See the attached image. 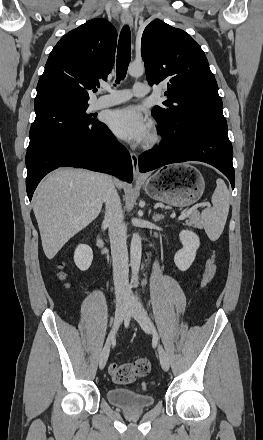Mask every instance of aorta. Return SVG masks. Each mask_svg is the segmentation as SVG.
Segmentation results:
<instances>
[{"label": "aorta", "instance_id": "762f6f07", "mask_svg": "<svg viewBox=\"0 0 263 440\" xmlns=\"http://www.w3.org/2000/svg\"><path fill=\"white\" fill-rule=\"evenodd\" d=\"M144 71H145V67L142 63H132L128 67V73L133 77L142 76ZM141 255H142L141 237L138 233H134L131 239V246H130V264L132 269V280L135 283L138 281Z\"/></svg>", "mask_w": 263, "mask_h": 440}]
</instances>
